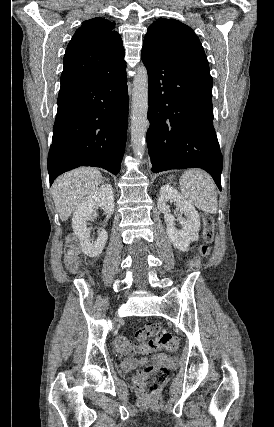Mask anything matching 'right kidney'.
Segmentation results:
<instances>
[{
    "mask_svg": "<svg viewBox=\"0 0 274 427\" xmlns=\"http://www.w3.org/2000/svg\"><path fill=\"white\" fill-rule=\"evenodd\" d=\"M94 208H102L105 214H113L115 204L113 188L110 184H104V186L93 190L84 202L77 206L72 217V229L79 237L83 253L89 257H98L108 239V233L105 229L99 231L97 239H90L87 221L92 217Z\"/></svg>",
    "mask_w": 274,
    "mask_h": 427,
    "instance_id": "obj_1",
    "label": "right kidney"
}]
</instances>
